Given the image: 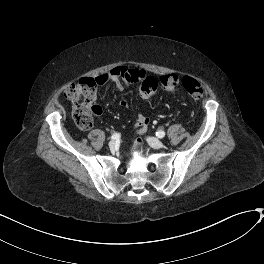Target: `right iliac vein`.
<instances>
[{
	"mask_svg": "<svg viewBox=\"0 0 264 264\" xmlns=\"http://www.w3.org/2000/svg\"><path fill=\"white\" fill-rule=\"evenodd\" d=\"M109 147H110L111 150H115V148H116V142L115 141H110L109 142Z\"/></svg>",
	"mask_w": 264,
	"mask_h": 264,
	"instance_id": "63e3f726",
	"label": "right iliac vein"
}]
</instances>
